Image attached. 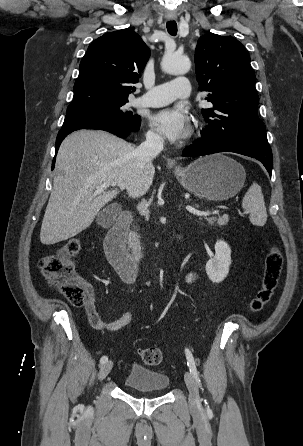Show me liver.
<instances>
[{
	"mask_svg": "<svg viewBox=\"0 0 303 446\" xmlns=\"http://www.w3.org/2000/svg\"><path fill=\"white\" fill-rule=\"evenodd\" d=\"M134 151L130 143L102 131L81 130L64 139L56 158L63 174L54 178L41 226L42 244L78 235L120 190L132 198L148 191L155 168L151 162L140 169ZM105 182L114 183L113 188L95 195Z\"/></svg>",
	"mask_w": 303,
	"mask_h": 446,
	"instance_id": "1",
	"label": "liver"
}]
</instances>
